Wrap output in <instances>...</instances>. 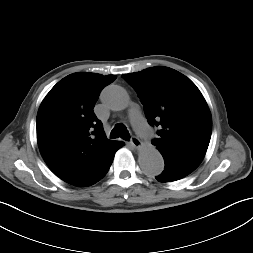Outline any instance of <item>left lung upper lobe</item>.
Instances as JSON below:
<instances>
[{"mask_svg": "<svg viewBox=\"0 0 253 253\" xmlns=\"http://www.w3.org/2000/svg\"><path fill=\"white\" fill-rule=\"evenodd\" d=\"M122 77L136 90L149 124L159 128L152 144L163 158L200 164L210 142L212 118L196 85L168 67Z\"/></svg>", "mask_w": 253, "mask_h": 253, "instance_id": "left-lung-upper-lobe-1", "label": "left lung upper lobe"}]
</instances>
